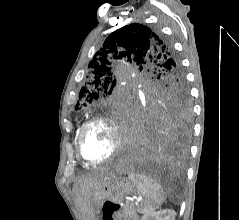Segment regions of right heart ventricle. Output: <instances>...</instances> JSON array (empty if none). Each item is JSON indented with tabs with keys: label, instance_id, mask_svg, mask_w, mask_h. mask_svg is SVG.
<instances>
[{
	"label": "right heart ventricle",
	"instance_id": "obj_1",
	"mask_svg": "<svg viewBox=\"0 0 239 220\" xmlns=\"http://www.w3.org/2000/svg\"><path fill=\"white\" fill-rule=\"evenodd\" d=\"M79 131H80V128H79V129L77 130V132H76V137H75L76 141H77V137H78ZM83 165H84V166H87V164H85V163H83Z\"/></svg>",
	"mask_w": 239,
	"mask_h": 220
}]
</instances>
